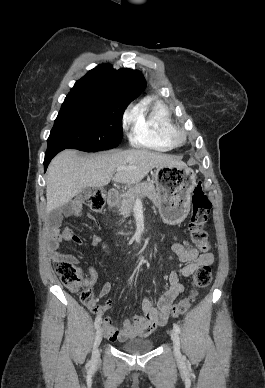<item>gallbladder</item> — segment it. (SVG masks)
Returning <instances> with one entry per match:
<instances>
[{"mask_svg":"<svg viewBox=\"0 0 265 388\" xmlns=\"http://www.w3.org/2000/svg\"><path fill=\"white\" fill-rule=\"evenodd\" d=\"M90 194V188H84L83 192H80L78 194V198H81V200H86Z\"/></svg>","mask_w":265,"mask_h":388,"instance_id":"bac80fb5","label":"gallbladder"}]
</instances>
